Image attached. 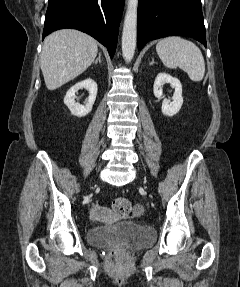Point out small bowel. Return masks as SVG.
Wrapping results in <instances>:
<instances>
[{
	"label": "small bowel",
	"mask_w": 240,
	"mask_h": 287,
	"mask_svg": "<svg viewBox=\"0 0 240 287\" xmlns=\"http://www.w3.org/2000/svg\"><path fill=\"white\" fill-rule=\"evenodd\" d=\"M142 210L143 207L141 205L137 204L135 206V212L140 213ZM90 215L93 219L96 220L110 219L114 217L112 211L109 208L99 205L92 207Z\"/></svg>",
	"instance_id": "small-bowel-1"
}]
</instances>
